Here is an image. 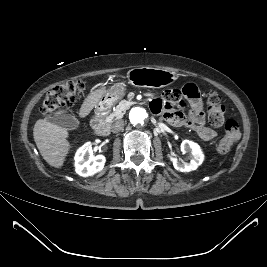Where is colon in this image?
<instances>
[{
	"label": "colon",
	"mask_w": 267,
	"mask_h": 267,
	"mask_svg": "<svg viewBox=\"0 0 267 267\" xmlns=\"http://www.w3.org/2000/svg\"><path fill=\"white\" fill-rule=\"evenodd\" d=\"M85 90V83L81 80H70L53 87L44 97L41 105L44 114H51L58 108L77 102ZM208 119L213 126L224 125L225 134L217 145L221 154L227 153L240 138L237 121L225 120V106L219 95L211 94L208 98Z\"/></svg>",
	"instance_id": "colon-1"
}]
</instances>
